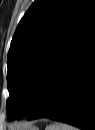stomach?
Segmentation results:
<instances>
[{
    "mask_svg": "<svg viewBox=\"0 0 95 130\" xmlns=\"http://www.w3.org/2000/svg\"><path fill=\"white\" fill-rule=\"evenodd\" d=\"M26 130H39V129L37 127H35V126H31L30 128H28Z\"/></svg>",
    "mask_w": 95,
    "mask_h": 130,
    "instance_id": "0dacf381",
    "label": "stomach"
}]
</instances>
